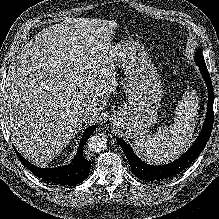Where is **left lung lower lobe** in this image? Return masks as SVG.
I'll return each instance as SVG.
<instances>
[{"instance_id":"1","label":"left lung lower lobe","mask_w":219,"mask_h":219,"mask_svg":"<svg viewBox=\"0 0 219 219\" xmlns=\"http://www.w3.org/2000/svg\"><path fill=\"white\" fill-rule=\"evenodd\" d=\"M200 67V72L207 84L208 88V104H207V114L204 122V126L201 130L200 135L196 139L195 143L191 146V148L179 159L176 161L160 166H152L142 162L133 152L132 148L121 138H117V141L121 148L123 149L130 167L132 169L133 174L139 179L143 180H163L171 178L180 172H182L185 168H187L195 158L202 152L204 147L206 146L208 139L211 135L212 127H213V88L212 82L207 70L206 64L197 63Z\"/></svg>"}]
</instances>
